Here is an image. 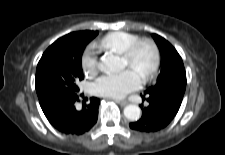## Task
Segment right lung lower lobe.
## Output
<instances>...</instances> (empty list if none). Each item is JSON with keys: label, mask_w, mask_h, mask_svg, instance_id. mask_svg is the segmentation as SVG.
Returning a JSON list of instances; mask_svg holds the SVG:
<instances>
[{"label": "right lung lower lobe", "mask_w": 225, "mask_h": 155, "mask_svg": "<svg viewBox=\"0 0 225 155\" xmlns=\"http://www.w3.org/2000/svg\"><path fill=\"white\" fill-rule=\"evenodd\" d=\"M77 95H59L40 104L48 121L60 132L80 135L89 131L97 121L100 100L92 97L81 111L75 108Z\"/></svg>", "instance_id": "right-lung-lower-lobe-1"}]
</instances>
